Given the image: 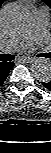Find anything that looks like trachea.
Returning <instances> with one entry per match:
<instances>
[{
    "instance_id": "3493384b",
    "label": "trachea",
    "mask_w": 51,
    "mask_h": 153,
    "mask_svg": "<svg viewBox=\"0 0 51 153\" xmlns=\"http://www.w3.org/2000/svg\"><path fill=\"white\" fill-rule=\"evenodd\" d=\"M15 59L14 55L11 54H0V60L2 62H8V61H12Z\"/></svg>"
}]
</instances>
